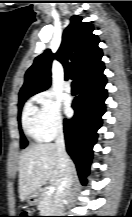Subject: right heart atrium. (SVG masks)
<instances>
[{
	"mask_svg": "<svg viewBox=\"0 0 132 217\" xmlns=\"http://www.w3.org/2000/svg\"><path fill=\"white\" fill-rule=\"evenodd\" d=\"M34 101L39 105L40 136L43 140H50L63 129L60 103L47 91L35 95Z\"/></svg>",
	"mask_w": 132,
	"mask_h": 217,
	"instance_id": "1",
	"label": "right heart atrium"
}]
</instances>
